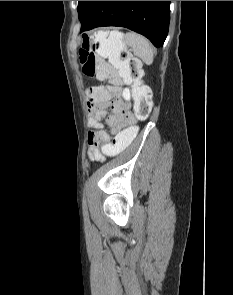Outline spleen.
<instances>
[{
	"mask_svg": "<svg viewBox=\"0 0 233 295\" xmlns=\"http://www.w3.org/2000/svg\"><path fill=\"white\" fill-rule=\"evenodd\" d=\"M99 53L107 57L109 62L121 69L124 62L120 60V53L126 46H130L135 56L141 58L146 64L153 62V49L150 42L142 35L135 32L123 34L117 30L111 31L108 38L105 33L99 35Z\"/></svg>",
	"mask_w": 233,
	"mask_h": 295,
	"instance_id": "spleen-1",
	"label": "spleen"
}]
</instances>
